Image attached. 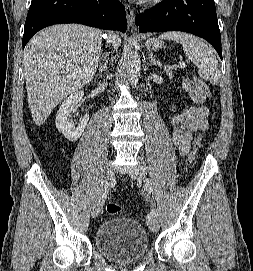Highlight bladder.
<instances>
[{
  "mask_svg": "<svg viewBox=\"0 0 253 271\" xmlns=\"http://www.w3.org/2000/svg\"><path fill=\"white\" fill-rule=\"evenodd\" d=\"M96 249L107 259L122 263L140 259L148 249L144 227L130 218H113L103 222L95 236Z\"/></svg>",
  "mask_w": 253,
  "mask_h": 271,
  "instance_id": "bladder-1",
  "label": "bladder"
}]
</instances>
